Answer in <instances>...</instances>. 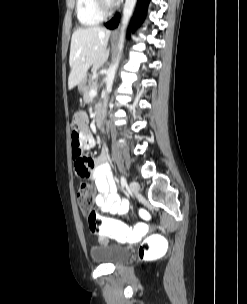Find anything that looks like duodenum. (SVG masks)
Wrapping results in <instances>:
<instances>
[{
  "label": "duodenum",
  "instance_id": "duodenum-1",
  "mask_svg": "<svg viewBox=\"0 0 247 304\" xmlns=\"http://www.w3.org/2000/svg\"><path fill=\"white\" fill-rule=\"evenodd\" d=\"M87 83L90 81L88 78L85 80ZM85 81H80V86H85ZM95 120L100 123L102 120V110L97 108L95 111ZM99 130L102 128L100 125L97 127Z\"/></svg>",
  "mask_w": 247,
  "mask_h": 304
}]
</instances>
